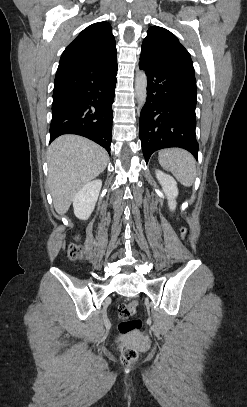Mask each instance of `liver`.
<instances>
[{
  "mask_svg": "<svg viewBox=\"0 0 247 407\" xmlns=\"http://www.w3.org/2000/svg\"><path fill=\"white\" fill-rule=\"evenodd\" d=\"M47 161L54 208L64 215L77 192L105 170L109 155L89 139L63 135L51 143Z\"/></svg>",
  "mask_w": 247,
  "mask_h": 407,
  "instance_id": "liver-1",
  "label": "liver"
}]
</instances>
